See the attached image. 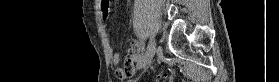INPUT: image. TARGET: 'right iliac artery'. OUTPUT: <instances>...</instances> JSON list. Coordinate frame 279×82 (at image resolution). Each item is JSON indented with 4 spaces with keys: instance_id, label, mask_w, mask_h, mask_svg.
<instances>
[{
    "instance_id": "right-iliac-artery-1",
    "label": "right iliac artery",
    "mask_w": 279,
    "mask_h": 82,
    "mask_svg": "<svg viewBox=\"0 0 279 82\" xmlns=\"http://www.w3.org/2000/svg\"><path fill=\"white\" fill-rule=\"evenodd\" d=\"M142 57H143V55L140 54V55L138 56V61H140Z\"/></svg>"
}]
</instances>
